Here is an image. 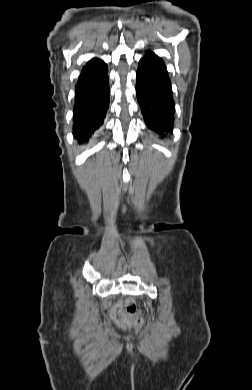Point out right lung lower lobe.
Masks as SVG:
<instances>
[{
  "label": "right lung lower lobe",
  "mask_w": 252,
  "mask_h": 390,
  "mask_svg": "<svg viewBox=\"0 0 252 390\" xmlns=\"http://www.w3.org/2000/svg\"><path fill=\"white\" fill-rule=\"evenodd\" d=\"M107 65L93 74H81L75 86L73 135L88 140L100 128L109 107Z\"/></svg>",
  "instance_id": "1"
}]
</instances>
